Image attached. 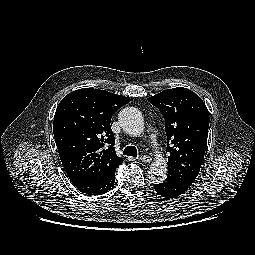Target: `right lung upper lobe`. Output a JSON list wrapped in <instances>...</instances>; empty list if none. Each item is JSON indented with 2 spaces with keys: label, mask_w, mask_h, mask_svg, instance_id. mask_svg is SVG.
I'll list each match as a JSON object with an SVG mask.
<instances>
[{
  "label": "right lung upper lobe",
  "mask_w": 255,
  "mask_h": 255,
  "mask_svg": "<svg viewBox=\"0 0 255 255\" xmlns=\"http://www.w3.org/2000/svg\"><path fill=\"white\" fill-rule=\"evenodd\" d=\"M128 102L130 99L122 95L83 88L59 103L53 133L61 162L73 183L104 179L123 162L114 149L110 121Z\"/></svg>",
  "instance_id": "right-lung-upper-lobe-1"
}]
</instances>
